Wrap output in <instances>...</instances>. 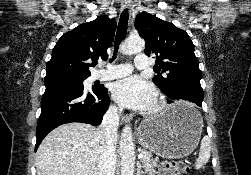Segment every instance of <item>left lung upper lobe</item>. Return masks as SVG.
Wrapping results in <instances>:
<instances>
[{
	"instance_id": "5c2ea615",
	"label": "left lung upper lobe",
	"mask_w": 251,
	"mask_h": 175,
	"mask_svg": "<svg viewBox=\"0 0 251 175\" xmlns=\"http://www.w3.org/2000/svg\"><path fill=\"white\" fill-rule=\"evenodd\" d=\"M135 27L146 42V55L152 54L156 57L159 67L153 82L161 90H167L171 85L180 82L201 88L202 73L194 54V45L184 30L147 12L137 15ZM161 69L167 76L163 77L159 73Z\"/></svg>"
}]
</instances>
